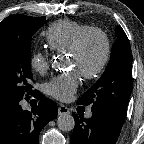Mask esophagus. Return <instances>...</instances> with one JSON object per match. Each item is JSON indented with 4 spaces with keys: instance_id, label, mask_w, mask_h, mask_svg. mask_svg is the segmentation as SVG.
<instances>
[{
    "instance_id": "1",
    "label": "esophagus",
    "mask_w": 144,
    "mask_h": 144,
    "mask_svg": "<svg viewBox=\"0 0 144 144\" xmlns=\"http://www.w3.org/2000/svg\"><path fill=\"white\" fill-rule=\"evenodd\" d=\"M69 113H70V111L66 106H64V105L59 106V108H58V114L59 115H66V114H69Z\"/></svg>"
}]
</instances>
